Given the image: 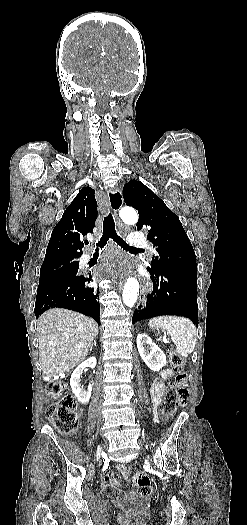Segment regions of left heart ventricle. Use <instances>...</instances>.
Instances as JSON below:
<instances>
[{"mask_svg": "<svg viewBox=\"0 0 247 525\" xmlns=\"http://www.w3.org/2000/svg\"><path fill=\"white\" fill-rule=\"evenodd\" d=\"M138 264H130L128 270H133L137 268Z\"/></svg>", "mask_w": 247, "mask_h": 525, "instance_id": "obj_1", "label": "left heart ventricle"}]
</instances>
